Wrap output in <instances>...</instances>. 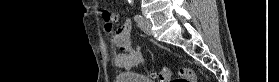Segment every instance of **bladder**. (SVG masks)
<instances>
[{
	"label": "bladder",
	"instance_id": "bladder-1",
	"mask_svg": "<svg viewBox=\"0 0 279 82\" xmlns=\"http://www.w3.org/2000/svg\"><path fill=\"white\" fill-rule=\"evenodd\" d=\"M116 82H152L148 77L133 72H122L116 77Z\"/></svg>",
	"mask_w": 279,
	"mask_h": 82
}]
</instances>
